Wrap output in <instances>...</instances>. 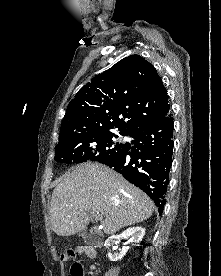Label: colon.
Segmentation results:
<instances>
[{
  "label": "colon",
  "instance_id": "colon-1",
  "mask_svg": "<svg viewBox=\"0 0 221 276\" xmlns=\"http://www.w3.org/2000/svg\"><path fill=\"white\" fill-rule=\"evenodd\" d=\"M63 261L66 262H73L71 267L72 276H83V268L79 263L74 262L75 260V253L73 250L65 251L61 256Z\"/></svg>",
  "mask_w": 221,
  "mask_h": 276
}]
</instances>
